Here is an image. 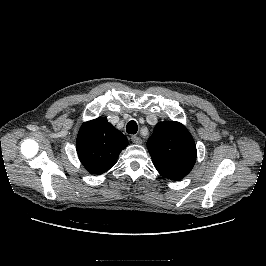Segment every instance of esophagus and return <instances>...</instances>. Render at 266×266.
Here are the masks:
<instances>
[{
	"label": "esophagus",
	"mask_w": 266,
	"mask_h": 266,
	"mask_svg": "<svg viewBox=\"0 0 266 266\" xmlns=\"http://www.w3.org/2000/svg\"><path fill=\"white\" fill-rule=\"evenodd\" d=\"M131 141L134 143V144H142V139L138 136H132L131 137Z\"/></svg>",
	"instance_id": "1"
}]
</instances>
